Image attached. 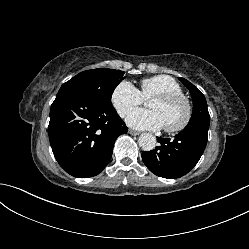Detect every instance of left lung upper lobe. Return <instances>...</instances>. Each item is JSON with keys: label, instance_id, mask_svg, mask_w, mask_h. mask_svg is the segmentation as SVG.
<instances>
[{"label": "left lung upper lobe", "instance_id": "1", "mask_svg": "<svg viewBox=\"0 0 249 249\" xmlns=\"http://www.w3.org/2000/svg\"><path fill=\"white\" fill-rule=\"evenodd\" d=\"M179 80L189 89L193 100V113L190 121L201 117L210 118L207 102L204 95L192 83L184 78L179 77Z\"/></svg>", "mask_w": 249, "mask_h": 249}]
</instances>
